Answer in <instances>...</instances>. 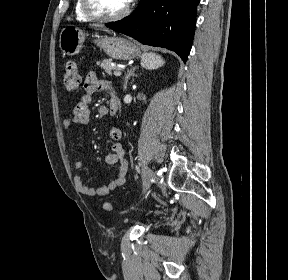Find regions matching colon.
Here are the masks:
<instances>
[{
    "label": "colon",
    "mask_w": 288,
    "mask_h": 280,
    "mask_svg": "<svg viewBox=\"0 0 288 280\" xmlns=\"http://www.w3.org/2000/svg\"><path fill=\"white\" fill-rule=\"evenodd\" d=\"M80 84V74L75 62H67L63 74V85L68 91L77 89ZM103 209L106 212L113 211V205L109 202L104 203Z\"/></svg>",
    "instance_id": "5ec220e1"
}]
</instances>
